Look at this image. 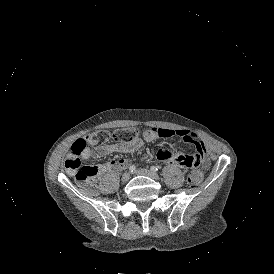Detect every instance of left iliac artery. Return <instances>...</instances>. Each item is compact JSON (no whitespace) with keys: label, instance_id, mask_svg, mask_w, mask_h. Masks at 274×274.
<instances>
[{"label":"left iliac artery","instance_id":"44dca946","mask_svg":"<svg viewBox=\"0 0 274 274\" xmlns=\"http://www.w3.org/2000/svg\"><path fill=\"white\" fill-rule=\"evenodd\" d=\"M151 171H153V172H157L158 171V168L156 167V166H151Z\"/></svg>","mask_w":274,"mask_h":274}]
</instances>
